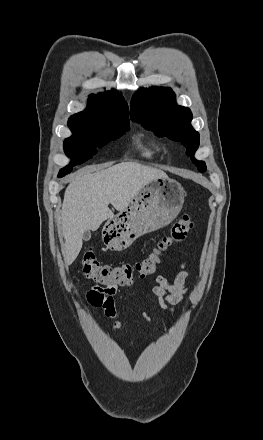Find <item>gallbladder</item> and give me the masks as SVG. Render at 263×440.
Masks as SVG:
<instances>
[{
  "instance_id": "bac80fb5",
  "label": "gallbladder",
  "mask_w": 263,
  "mask_h": 440,
  "mask_svg": "<svg viewBox=\"0 0 263 440\" xmlns=\"http://www.w3.org/2000/svg\"><path fill=\"white\" fill-rule=\"evenodd\" d=\"M91 239V233H90V231H86L84 234H83V240L84 241H89Z\"/></svg>"
}]
</instances>
